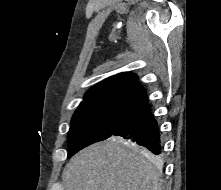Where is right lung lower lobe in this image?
I'll return each instance as SVG.
<instances>
[{
	"mask_svg": "<svg viewBox=\"0 0 221 190\" xmlns=\"http://www.w3.org/2000/svg\"><path fill=\"white\" fill-rule=\"evenodd\" d=\"M113 135L131 140L155 155L162 153L160 131L148 103L139 108Z\"/></svg>",
	"mask_w": 221,
	"mask_h": 190,
	"instance_id": "obj_1",
	"label": "right lung lower lobe"
}]
</instances>
